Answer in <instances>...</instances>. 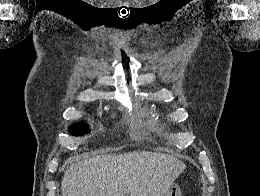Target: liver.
Here are the masks:
<instances>
[{
	"label": "liver",
	"instance_id": "obj_1",
	"mask_svg": "<svg viewBox=\"0 0 260 196\" xmlns=\"http://www.w3.org/2000/svg\"><path fill=\"white\" fill-rule=\"evenodd\" d=\"M185 168L157 152L86 156L65 172L62 196H166Z\"/></svg>",
	"mask_w": 260,
	"mask_h": 196
}]
</instances>
